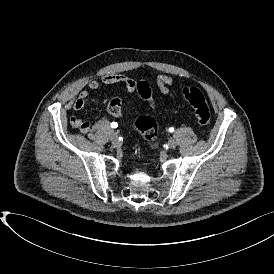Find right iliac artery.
Here are the masks:
<instances>
[{
  "instance_id": "obj_1",
  "label": "right iliac artery",
  "mask_w": 274,
  "mask_h": 274,
  "mask_svg": "<svg viewBox=\"0 0 274 274\" xmlns=\"http://www.w3.org/2000/svg\"><path fill=\"white\" fill-rule=\"evenodd\" d=\"M117 126H118L117 122H112V123H111V127H112V128L115 129V128H117ZM119 140H121V138H119Z\"/></svg>"
}]
</instances>
